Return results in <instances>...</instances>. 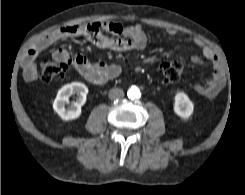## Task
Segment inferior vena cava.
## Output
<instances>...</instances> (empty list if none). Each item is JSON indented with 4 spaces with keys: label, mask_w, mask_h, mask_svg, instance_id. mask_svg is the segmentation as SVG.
<instances>
[{
    "label": "inferior vena cava",
    "mask_w": 245,
    "mask_h": 195,
    "mask_svg": "<svg viewBox=\"0 0 245 195\" xmlns=\"http://www.w3.org/2000/svg\"><path fill=\"white\" fill-rule=\"evenodd\" d=\"M108 96L110 99H120L124 97V92L120 88H113L109 91Z\"/></svg>",
    "instance_id": "602c4592"
}]
</instances>
